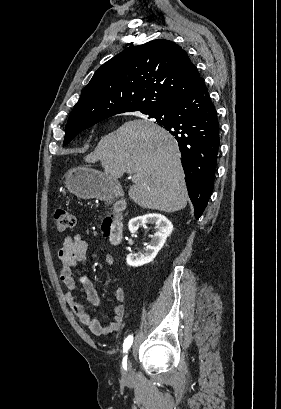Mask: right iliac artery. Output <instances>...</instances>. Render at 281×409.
Wrapping results in <instances>:
<instances>
[{
    "instance_id": "right-iliac-artery-1",
    "label": "right iliac artery",
    "mask_w": 281,
    "mask_h": 409,
    "mask_svg": "<svg viewBox=\"0 0 281 409\" xmlns=\"http://www.w3.org/2000/svg\"><path fill=\"white\" fill-rule=\"evenodd\" d=\"M132 342H133V337H132V336H128V337L125 339L124 344H123V347H124V351H125V352H127L128 349L131 347ZM123 366H124V368H126V361L123 362Z\"/></svg>"
}]
</instances>
